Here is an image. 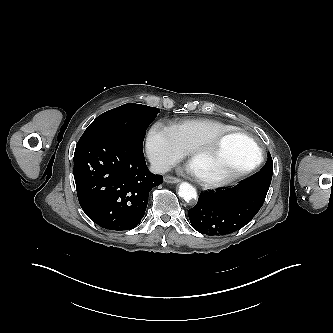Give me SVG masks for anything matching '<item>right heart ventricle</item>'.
I'll list each match as a JSON object with an SVG mask.
<instances>
[{
	"label": "right heart ventricle",
	"instance_id": "e07e8e85",
	"mask_svg": "<svg viewBox=\"0 0 333 333\" xmlns=\"http://www.w3.org/2000/svg\"><path fill=\"white\" fill-rule=\"evenodd\" d=\"M170 128L184 149L189 151L195 145L233 127L214 119L196 118L181 120Z\"/></svg>",
	"mask_w": 333,
	"mask_h": 333
}]
</instances>
